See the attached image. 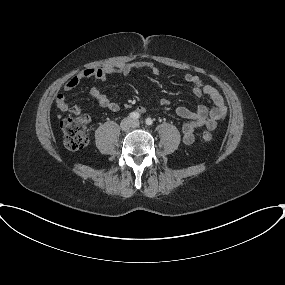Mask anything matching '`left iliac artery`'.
Returning a JSON list of instances; mask_svg holds the SVG:
<instances>
[{
  "mask_svg": "<svg viewBox=\"0 0 285 285\" xmlns=\"http://www.w3.org/2000/svg\"><path fill=\"white\" fill-rule=\"evenodd\" d=\"M145 123H146L147 125H152L153 120H152L151 118H147V119L145 120Z\"/></svg>",
  "mask_w": 285,
  "mask_h": 285,
  "instance_id": "left-iliac-artery-1",
  "label": "left iliac artery"
}]
</instances>
